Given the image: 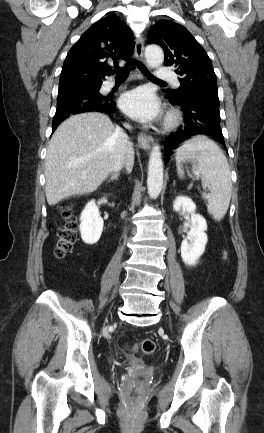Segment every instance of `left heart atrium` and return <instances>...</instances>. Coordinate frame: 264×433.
I'll return each instance as SVG.
<instances>
[{
	"label": "left heart atrium",
	"instance_id": "39dd6f15",
	"mask_svg": "<svg viewBox=\"0 0 264 433\" xmlns=\"http://www.w3.org/2000/svg\"><path fill=\"white\" fill-rule=\"evenodd\" d=\"M121 109L130 117L140 121H150L160 112V105L154 93L140 87L125 93L120 99Z\"/></svg>",
	"mask_w": 264,
	"mask_h": 433
}]
</instances>
